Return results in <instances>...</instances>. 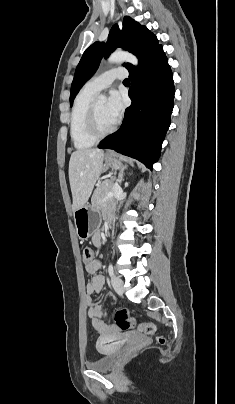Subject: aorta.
Masks as SVG:
<instances>
[{"label": "aorta", "instance_id": "762f6f07", "mask_svg": "<svg viewBox=\"0 0 235 404\" xmlns=\"http://www.w3.org/2000/svg\"><path fill=\"white\" fill-rule=\"evenodd\" d=\"M109 63H121V62H128L133 65H138V59L131 53L125 51H115L113 52L110 57L108 58ZM106 102L105 95H99L97 97V103L103 104Z\"/></svg>", "mask_w": 235, "mask_h": 404}]
</instances>
